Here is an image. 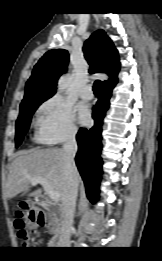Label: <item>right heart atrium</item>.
I'll return each instance as SVG.
<instances>
[{
	"instance_id": "obj_1",
	"label": "right heart atrium",
	"mask_w": 162,
	"mask_h": 261,
	"mask_svg": "<svg viewBox=\"0 0 162 261\" xmlns=\"http://www.w3.org/2000/svg\"><path fill=\"white\" fill-rule=\"evenodd\" d=\"M37 126V139L45 143L68 141L77 132L72 107L57 95L50 97L41 106Z\"/></svg>"
}]
</instances>
